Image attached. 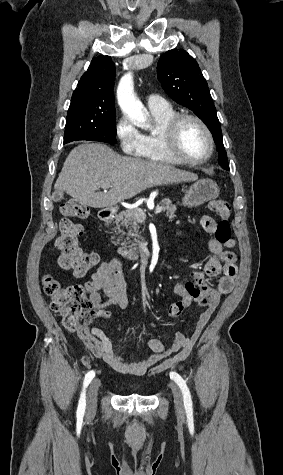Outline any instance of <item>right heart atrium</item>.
I'll return each mask as SVG.
<instances>
[{"mask_svg":"<svg viewBox=\"0 0 283 475\" xmlns=\"http://www.w3.org/2000/svg\"><path fill=\"white\" fill-rule=\"evenodd\" d=\"M114 132L119 141L123 155H134L135 159L142 157L144 138L126 116H120L114 125Z\"/></svg>","mask_w":283,"mask_h":475,"instance_id":"1","label":"right heart atrium"}]
</instances>
